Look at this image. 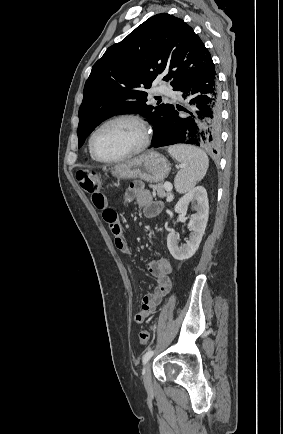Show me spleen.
Instances as JSON below:
<instances>
[{
    "instance_id": "3e777b00",
    "label": "spleen",
    "mask_w": 283,
    "mask_h": 434,
    "mask_svg": "<svg viewBox=\"0 0 283 434\" xmlns=\"http://www.w3.org/2000/svg\"><path fill=\"white\" fill-rule=\"evenodd\" d=\"M168 151L182 167L175 177V188L179 193H186L205 176L209 167L208 156L190 145L173 146Z\"/></svg>"
}]
</instances>
